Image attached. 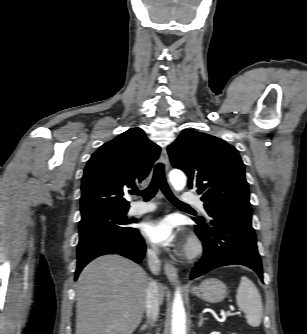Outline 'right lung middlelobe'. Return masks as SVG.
<instances>
[{"mask_svg": "<svg viewBox=\"0 0 307 334\" xmlns=\"http://www.w3.org/2000/svg\"><path fill=\"white\" fill-rule=\"evenodd\" d=\"M126 213L102 211L82 216L77 256L99 245L123 243L132 238L138 230L129 226Z\"/></svg>", "mask_w": 307, "mask_h": 334, "instance_id": "right-lung-middle-lobe-1", "label": "right lung middle lobe"}]
</instances>
